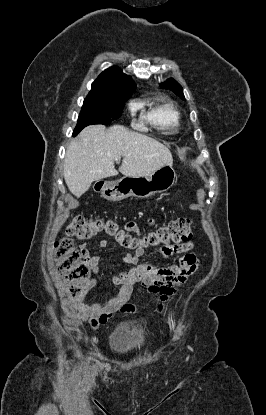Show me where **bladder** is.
I'll return each instance as SVG.
<instances>
[{
	"label": "bladder",
	"instance_id": "1",
	"mask_svg": "<svg viewBox=\"0 0 266 415\" xmlns=\"http://www.w3.org/2000/svg\"><path fill=\"white\" fill-rule=\"evenodd\" d=\"M147 346H149L147 332L143 324L138 321L120 322L109 336V347L119 356H127Z\"/></svg>",
	"mask_w": 266,
	"mask_h": 415
}]
</instances>
